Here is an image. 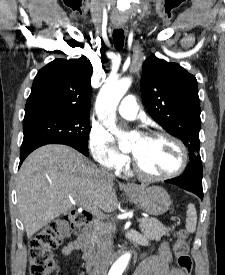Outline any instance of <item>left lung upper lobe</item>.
I'll list each match as a JSON object with an SVG mask.
<instances>
[{"label":"left lung upper lobe","instance_id":"obj_1","mask_svg":"<svg viewBox=\"0 0 225 275\" xmlns=\"http://www.w3.org/2000/svg\"><path fill=\"white\" fill-rule=\"evenodd\" d=\"M141 92L152 118L182 140L190 160L199 158L201 120L196 78L179 64L150 56L143 64Z\"/></svg>","mask_w":225,"mask_h":275}]
</instances>
